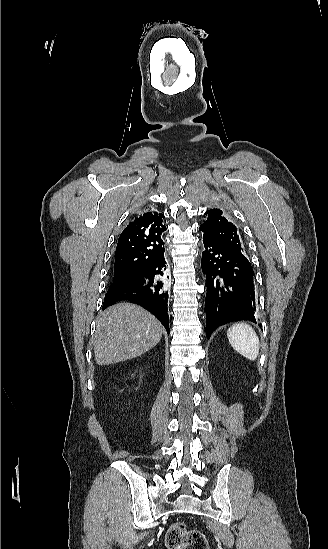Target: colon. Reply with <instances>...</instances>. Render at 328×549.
I'll return each mask as SVG.
<instances>
[{
	"label": "colon",
	"mask_w": 328,
	"mask_h": 549,
	"mask_svg": "<svg viewBox=\"0 0 328 549\" xmlns=\"http://www.w3.org/2000/svg\"><path fill=\"white\" fill-rule=\"evenodd\" d=\"M165 542L169 549H209L206 536L201 531L189 529L183 522L169 527Z\"/></svg>",
	"instance_id": "1"
}]
</instances>
